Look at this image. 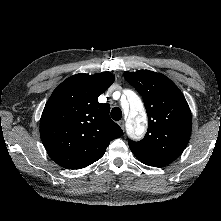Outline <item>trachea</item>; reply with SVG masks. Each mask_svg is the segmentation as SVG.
Instances as JSON below:
<instances>
[{"label":"trachea","instance_id":"1","mask_svg":"<svg viewBox=\"0 0 221 221\" xmlns=\"http://www.w3.org/2000/svg\"><path fill=\"white\" fill-rule=\"evenodd\" d=\"M111 117L115 121H119L122 118V111L119 107H114L111 110Z\"/></svg>","mask_w":221,"mask_h":221}]
</instances>
